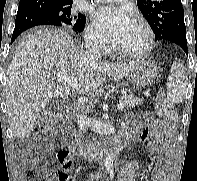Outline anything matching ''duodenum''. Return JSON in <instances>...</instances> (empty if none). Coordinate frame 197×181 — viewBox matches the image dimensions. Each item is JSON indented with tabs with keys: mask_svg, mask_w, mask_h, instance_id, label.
Returning a JSON list of instances; mask_svg holds the SVG:
<instances>
[{
	"mask_svg": "<svg viewBox=\"0 0 197 181\" xmlns=\"http://www.w3.org/2000/svg\"><path fill=\"white\" fill-rule=\"evenodd\" d=\"M66 117L68 120L71 119V114L67 113ZM70 124H68V128H70ZM129 139L123 134H118L114 139V144L112 147V150L115 153H119L128 143ZM74 152L78 154L79 156H84V150L81 148H74ZM88 152L91 156H96L99 158H103L106 154V149L104 147L100 148H88Z\"/></svg>",
	"mask_w": 197,
	"mask_h": 181,
	"instance_id": "1",
	"label": "duodenum"
}]
</instances>
